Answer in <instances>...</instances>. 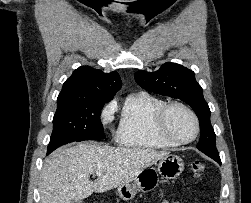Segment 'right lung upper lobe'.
<instances>
[{"label": "right lung upper lobe", "mask_w": 251, "mask_h": 203, "mask_svg": "<svg viewBox=\"0 0 251 203\" xmlns=\"http://www.w3.org/2000/svg\"><path fill=\"white\" fill-rule=\"evenodd\" d=\"M121 88L117 72L104 73L89 66L76 69L63 84L58 106L81 101H110Z\"/></svg>", "instance_id": "obj_1"}]
</instances>
